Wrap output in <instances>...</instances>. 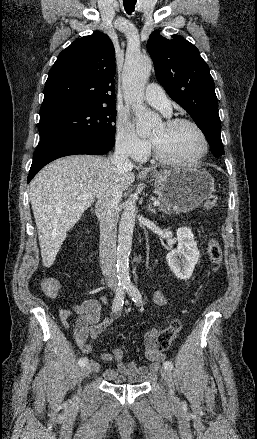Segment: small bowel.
I'll return each instance as SVG.
<instances>
[{
	"label": "small bowel",
	"instance_id": "c3829d8e",
	"mask_svg": "<svg viewBox=\"0 0 257 439\" xmlns=\"http://www.w3.org/2000/svg\"><path fill=\"white\" fill-rule=\"evenodd\" d=\"M153 301L159 305H165L167 302L166 298L159 290L154 292ZM73 315L77 316V330L74 334L76 345L83 354H90L92 347L87 342V339L97 338L112 321L110 318H100V303L94 299H89L81 304L73 305L72 311H62L60 318L63 324L67 326L69 324V319ZM158 331V329L150 328L145 331L143 336L145 356L152 362L150 367L141 366L135 362L125 361L123 351L119 348H114L110 352L101 354L102 360L113 365V367L104 371V377L110 381H124L136 384L147 381L159 370L160 363L165 358L163 352L157 350L155 346V339ZM89 365L94 372L99 370V364L96 361L90 360Z\"/></svg>",
	"mask_w": 257,
	"mask_h": 439
}]
</instances>
